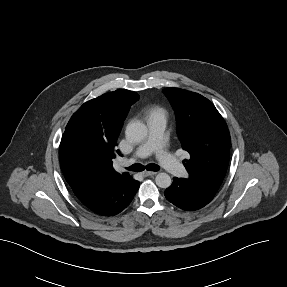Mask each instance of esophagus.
<instances>
[{
    "label": "esophagus",
    "instance_id": "obj_1",
    "mask_svg": "<svg viewBox=\"0 0 287 287\" xmlns=\"http://www.w3.org/2000/svg\"><path fill=\"white\" fill-rule=\"evenodd\" d=\"M143 176H151L157 174L155 171H143L142 172Z\"/></svg>",
    "mask_w": 287,
    "mask_h": 287
}]
</instances>
